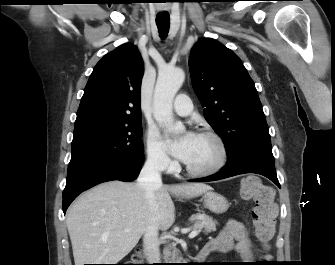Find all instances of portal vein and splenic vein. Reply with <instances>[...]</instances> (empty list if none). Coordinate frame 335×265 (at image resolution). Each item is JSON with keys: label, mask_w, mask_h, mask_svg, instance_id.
Wrapping results in <instances>:
<instances>
[{"label": "portal vein and splenic vein", "mask_w": 335, "mask_h": 265, "mask_svg": "<svg viewBox=\"0 0 335 265\" xmlns=\"http://www.w3.org/2000/svg\"><path fill=\"white\" fill-rule=\"evenodd\" d=\"M199 232H200L199 230H193V231H191L190 234H189V238L196 237L199 234Z\"/></svg>", "instance_id": "18ae733b"}]
</instances>
